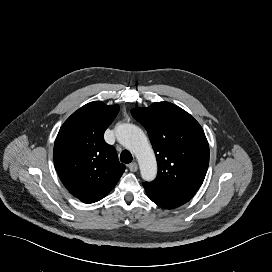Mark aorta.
<instances>
[{"label": "aorta", "mask_w": 272, "mask_h": 272, "mask_svg": "<svg viewBox=\"0 0 272 272\" xmlns=\"http://www.w3.org/2000/svg\"><path fill=\"white\" fill-rule=\"evenodd\" d=\"M118 141L136 156L144 181H153L157 175V162L144 132L134 124H121L117 129Z\"/></svg>", "instance_id": "1"}]
</instances>
